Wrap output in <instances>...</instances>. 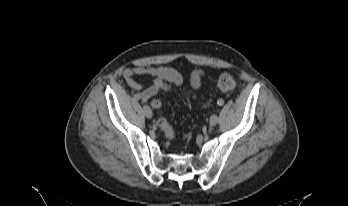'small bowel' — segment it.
Here are the masks:
<instances>
[{
	"instance_id": "obj_1",
	"label": "small bowel",
	"mask_w": 348,
	"mask_h": 206,
	"mask_svg": "<svg viewBox=\"0 0 348 206\" xmlns=\"http://www.w3.org/2000/svg\"><path fill=\"white\" fill-rule=\"evenodd\" d=\"M147 75L150 76L153 81L152 84L143 89L140 93V97L144 102L149 101L157 93H159L164 87L165 82H170L176 86L182 84L181 74L174 68L159 66V67H142L136 66L127 68L123 71V76L128 87L141 90L142 86L135 79L136 76ZM205 76L203 70H195L190 78V84L193 89H199L201 86L202 78Z\"/></svg>"
}]
</instances>
